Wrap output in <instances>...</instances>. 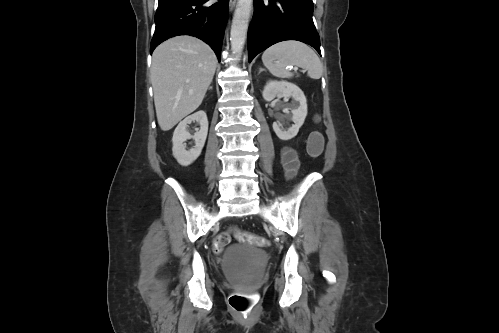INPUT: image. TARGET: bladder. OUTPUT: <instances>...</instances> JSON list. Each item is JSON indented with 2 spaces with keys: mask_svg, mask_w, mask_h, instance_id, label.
<instances>
[{
  "mask_svg": "<svg viewBox=\"0 0 499 333\" xmlns=\"http://www.w3.org/2000/svg\"><path fill=\"white\" fill-rule=\"evenodd\" d=\"M266 261V253L248 245L231 246L226 253L224 269L226 274L239 284H254Z\"/></svg>",
  "mask_w": 499,
  "mask_h": 333,
  "instance_id": "bladder-1",
  "label": "bladder"
}]
</instances>
